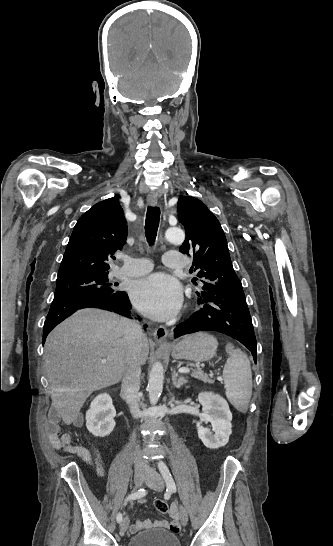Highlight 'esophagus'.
<instances>
[{"label": "esophagus", "mask_w": 333, "mask_h": 546, "mask_svg": "<svg viewBox=\"0 0 333 546\" xmlns=\"http://www.w3.org/2000/svg\"><path fill=\"white\" fill-rule=\"evenodd\" d=\"M147 202L150 206H153V207L157 206L158 204L157 193L154 191L150 192L147 197ZM167 334H168V330L166 329V327L159 326L154 331V339L157 343L165 345L167 344V340H166Z\"/></svg>", "instance_id": "1"}]
</instances>
